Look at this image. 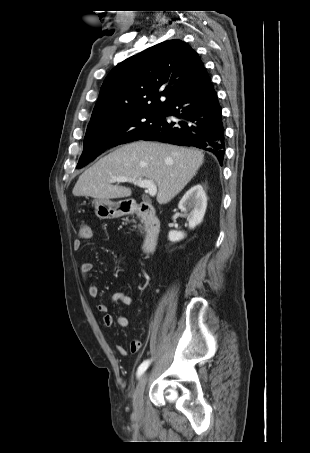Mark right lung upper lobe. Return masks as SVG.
Returning <instances> with one entry per match:
<instances>
[{"mask_svg": "<svg viewBox=\"0 0 310 453\" xmlns=\"http://www.w3.org/2000/svg\"><path fill=\"white\" fill-rule=\"evenodd\" d=\"M205 68L181 40L150 47L118 64L100 89L90 123L134 111L163 108L192 86ZM165 97L164 100H160Z\"/></svg>", "mask_w": 310, "mask_h": 453, "instance_id": "obj_1", "label": "right lung upper lobe"}]
</instances>
